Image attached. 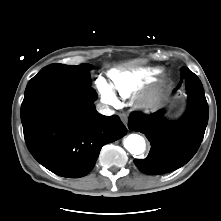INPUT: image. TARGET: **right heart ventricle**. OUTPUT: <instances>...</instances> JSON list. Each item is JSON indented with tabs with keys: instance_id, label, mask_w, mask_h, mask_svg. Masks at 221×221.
Wrapping results in <instances>:
<instances>
[{
	"instance_id": "1",
	"label": "right heart ventricle",
	"mask_w": 221,
	"mask_h": 221,
	"mask_svg": "<svg viewBox=\"0 0 221 221\" xmlns=\"http://www.w3.org/2000/svg\"><path fill=\"white\" fill-rule=\"evenodd\" d=\"M160 70H112L109 72L111 89L121 98L135 95L146 82L152 81Z\"/></svg>"
}]
</instances>
